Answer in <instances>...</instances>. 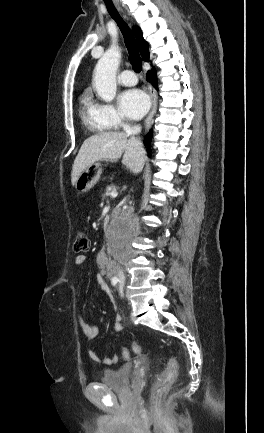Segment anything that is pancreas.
I'll return each instance as SVG.
<instances>
[{
	"label": "pancreas",
	"mask_w": 264,
	"mask_h": 433,
	"mask_svg": "<svg viewBox=\"0 0 264 433\" xmlns=\"http://www.w3.org/2000/svg\"><path fill=\"white\" fill-rule=\"evenodd\" d=\"M117 191V187L115 185H110L106 188L105 193L103 194V198L108 197L111 195L112 192H116Z\"/></svg>",
	"instance_id": "pancreas-1"
}]
</instances>
